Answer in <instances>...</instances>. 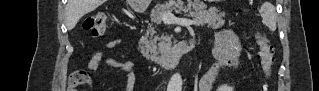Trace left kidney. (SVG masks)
<instances>
[{
	"instance_id": "obj_1",
	"label": "left kidney",
	"mask_w": 319,
	"mask_h": 91,
	"mask_svg": "<svg viewBox=\"0 0 319 91\" xmlns=\"http://www.w3.org/2000/svg\"><path fill=\"white\" fill-rule=\"evenodd\" d=\"M219 91H233V87L228 86V85H222L218 88Z\"/></svg>"
}]
</instances>
